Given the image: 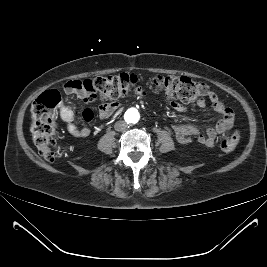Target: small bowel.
I'll list each match as a JSON object with an SVG mask.
<instances>
[{"mask_svg": "<svg viewBox=\"0 0 267 267\" xmlns=\"http://www.w3.org/2000/svg\"><path fill=\"white\" fill-rule=\"evenodd\" d=\"M75 82L79 80H71L66 82L64 85V92L66 94H74L84 102H89V93L82 87L76 86ZM138 93H142L140 87L137 88ZM209 100L211 101L213 108L216 112L221 114V118L214 127H208L205 132H203L199 127L193 124H173L171 126L172 131L176 140L179 143L187 144L196 139L199 143L206 145L208 147H213L216 143V139L219 135L224 134L229 130L234 122V114L232 109L224 104L213 92H210ZM197 105L200 108L206 106V100L204 98H199ZM171 106L180 112L186 110L185 106L179 102H172ZM118 105L116 103H104L99 107V116L102 119L110 118L116 111ZM59 116L61 120L65 123L67 131L74 137L85 138L89 136L90 129L88 127H79L75 124V114L73 110L61 103L59 106ZM83 119L90 122L93 119V111L90 108H86L82 112Z\"/></svg>", "mask_w": 267, "mask_h": 267, "instance_id": "small-bowel-1", "label": "small bowel"}]
</instances>
